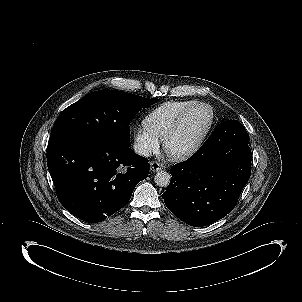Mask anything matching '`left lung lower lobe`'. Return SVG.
Instances as JSON below:
<instances>
[{
	"label": "left lung lower lobe",
	"instance_id": "obj_1",
	"mask_svg": "<svg viewBox=\"0 0 302 302\" xmlns=\"http://www.w3.org/2000/svg\"><path fill=\"white\" fill-rule=\"evenodd\" d=\"M251 149L203 147L171 168L162 198L167 208L191 226L212 224L230 213L251 174Z\"/></svg>",
	"mask_w": 302,
	"mask_h": 302
}]
</instances>
